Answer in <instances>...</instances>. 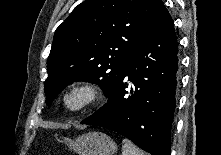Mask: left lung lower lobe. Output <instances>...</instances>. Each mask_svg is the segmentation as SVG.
<instances>
[{
    "mask_svg": "<svg viewBox=\"0 0 221 155\" xmlns=\"http://www.w3.org/2000/svg\"><path fill=\"white\" fill-rule=\"evenodd\" d=\"M178 69L174 23L163 7L133 50L108 102L81 124L113 130L152 155H170Z\"/></svg>",
    "mask_w": 221,
    "mask_h": 155,
    "instance_id": "0a47b994",
    "label": "left lung lower lobe"
}]
</instances>
